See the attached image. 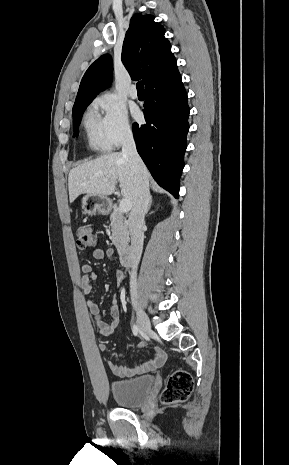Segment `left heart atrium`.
Instances as JSON below:
<instances>
[{
  "label": "left heart atrium",
  "instance_id": "39dd6f15",
  "mask_svg": "<svg viewBox=\"0 0 289 465\" xmlns=\"http://www.w3.org/2000/svg\"><path fill=\"white\" fill-rule=\"evenodd\" d=\"M133 114H134L135 117H138V116H139V111H138V110H134Z\"/></svg>",
  "mask_w": 289,
  "mask_h": 465
}]
</instances>
